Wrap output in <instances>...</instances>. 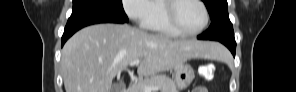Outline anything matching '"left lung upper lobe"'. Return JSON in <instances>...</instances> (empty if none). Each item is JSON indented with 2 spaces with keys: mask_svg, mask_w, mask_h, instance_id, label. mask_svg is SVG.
I'll list each match as a JSON object with an SVG mask.
<instances>
[{
  "mask_svg": "<svg viewBox=\"0 0 296 92\" xmlns=\"http://www.w3.org/2000/svg\"><path fill=\"white\" fill-rule=\"evenodd\" d=\"M210 14L211 25L202 35L206 40H235L228 15L227 0H202Z\"/></svg>",
  "mask_w": 296,
  "mask_h": 92,
  "instance_id": "5c2ea615",
  "label": "left lung upper lobe"
}]
</instances>
